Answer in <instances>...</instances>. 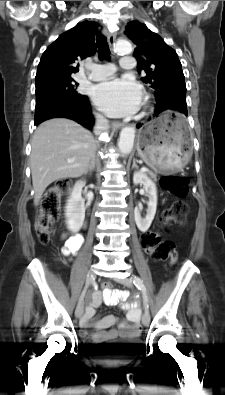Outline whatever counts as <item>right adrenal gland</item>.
<instances>
[{"label": "right adrenal gland", "mask_w": 225, "mask_h": 395, "mask_svg": "<svg viewBox=\"0 0 225 395\" xmlns=\"http://www.w3.org/2000/svg\"><path fill=\"white\" fill-rule=\"evenodd\" d=\"M93 170H95V162H94V160H91L90 165L88 166L85 174H87L88 172L91 173Z\"/></svg>", "instance_id": "1"}]
</instances>
